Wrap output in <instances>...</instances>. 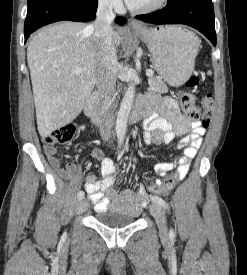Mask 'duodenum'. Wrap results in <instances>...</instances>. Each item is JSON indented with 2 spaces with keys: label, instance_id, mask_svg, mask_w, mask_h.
<instances>
[{
  "label": "duodenum",
  "instance_id": "duodenum-1",
  "mask_svg": "<svg viewBox=\"0 0 247 275\" xmlns=\"http://www.w3.org/2000/svg\"><path fill=\"white\" fill-rule=\"evenodd\" d=\"M102 92L100 90L93 93L86 101L85 114L104 127L109 125V112L101 104ZM146 113L144 104H136L130 116V123L140 121Z\"/></svg>",
  "mask_w": 247,
  "mask_h": 275
}]
</instances>
